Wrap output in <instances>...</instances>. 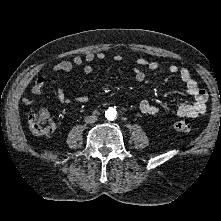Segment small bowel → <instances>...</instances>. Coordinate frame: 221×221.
I'll return each mask as SVG.
<instances>
[{"mask_svg":"<svg viewBox=\"0 0 221 221\" xmlns=\"http://www.w3.org/2000/svg\"><path fill=\"white\" fill-rule=\"evenodd\" d=\"M106 59V55L102 52L98 53H87L84 57L75 56L72 60H63L55 64L52 68L53 73L59 72H71L76 67H81L86 74L93 72V62L95 60L103 61ZM114 61L121 62L124 60V57L120 54H116L113 57ZM137 67L134 69V78L141 82L145 79L144 70H154L159 67L158 63L152 62L146 58H138ZM168 72L172 76H176L180 81L185 85L188 94L192 97L191 104H180L176 109L177 117H191L195 118L203 114L206 111V103L208 95L204 89H202L197 81L193 78L190 70L186 67H179L175 64H170L167 66ZM45 87V79L43 77L37 78L32 87L31 91L35 95H40ZM57 99L63 104H69L71 99L67 96L62 88L57 89ZM78 102H85V97H78L76 99ZM22 101L26 105H31L33 103V98L26 95L23 96ZM139 110L143 114H154L157 111L155 105H153L148 100H142L139 103Z\"/></svg>","mask_w":221,"mask_h":221,"instance_id":"1","label":"small bowel"}]
</instances>
